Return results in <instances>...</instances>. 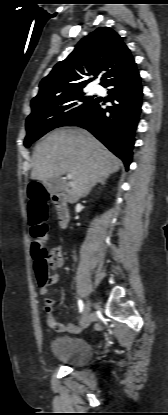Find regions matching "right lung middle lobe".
Here are the masks:
<instances>
[{
    "label": "right lung middle lobe",
    "mask_w": 168,
    "mask_h": 415,
    "mask_svg": "<svg viewBox=\"0 0 168 415\" xmlns=\"http://www.w3.org/2000/svg\"><path fill=\"white\" fill-rule=\"evenodd\" d=\"M98 98L78 91L32 107L26 120L27 135L24 145L28 148L54 128L66 126L75 118L86 113Z\"/></svg>",
    "instance_id": "dd1d6c3e"
}]
</instances>
